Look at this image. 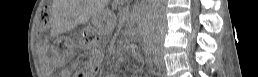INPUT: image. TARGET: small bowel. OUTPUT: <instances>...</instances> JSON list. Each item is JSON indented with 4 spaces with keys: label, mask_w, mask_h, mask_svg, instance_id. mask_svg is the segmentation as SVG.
Segmentation results:
<instances>
[{
    "label": "small bowel",
    "mask_w": 258,
    "mask_h": 77,
    "mask_svg": "<svg viewBox=\"0 0 258 77\" xmlns=\"http://www.w3.org/2000/svg\"><path fill=\"white\" fill-rule=\"evenodd\" d=\"M49 49L48 43L45 40H42L39 42V50L43 54V57L45 59V62L49 66H55V67H60L63 64V60L61 58L57 57H49L46 55L47 51Z\"/></svg>",
    "instance_id": "obj_1"
}]
</instances>
